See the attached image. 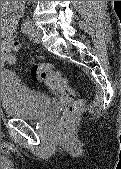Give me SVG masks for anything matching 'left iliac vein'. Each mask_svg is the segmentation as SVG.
<instances>
[{"instance_id":"obj_1","label":"left iliac vein","mask_w":121,"mask_h":169,"mask_svg":"<svg viewBox=\"0 0 121 169\" xmlns=\"http://www.w3.org/2000/svg\"><path fill=\"white\" fill-rule=\"evenodd\" d=\"M29 38L34 43H40L42 38V32L39 28H36L33 24L30 30L27 33Z\"/></svg>"}]
</instances>
